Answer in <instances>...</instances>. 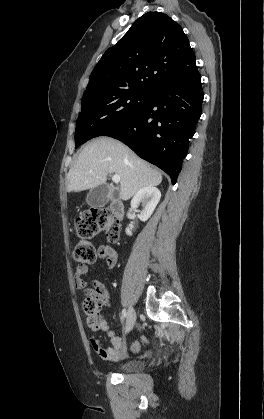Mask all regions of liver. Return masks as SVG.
Listing matches in <instances>:
<instances>
[{"mask_svg": "<svg viewBox=\"0 0 264 419\" xmlns=\"http://www.w3.org/2000/svg\"><path fill=\"white\" fill-rule=\"evenodd\" d=\"M110 174L120 176L119 198L128 200L144 187L158 186L162 174L118 140L99 137L80 152L67 176V191L80 192L105 184Z\"/></svg>", "mask_w": 264, "mask_h": 419, "instance_id": "obj_1", "label": "liver"}]
</instances>
